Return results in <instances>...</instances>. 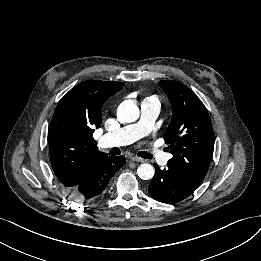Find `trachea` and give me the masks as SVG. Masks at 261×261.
I'll use <instances>...</instances> for the list:
<instances>
[{
    "label": "trachea",
    "instance_id": "obj_1",
    "mask_svg": "<svg viewBox=\"0 0 261 261\" xmlns=\"http://www.w3.org/2000/svg\"><path fill=\"white\" fill-rule=\"evenodd\" d=\"M138 156L145 158V159H151L152 155L148 152L141 151L138 153Z\"/></svg>",
    "mask_w": 261,
    "mask_h": 261
}]
</instances>
